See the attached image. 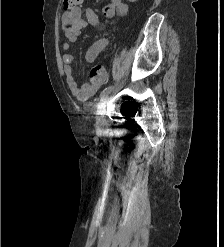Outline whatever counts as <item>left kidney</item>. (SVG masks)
Instances as JSON below:
<instances>
[{"mask_svg":"<svg viewBox=\"0 0 224 247\" xmlns=\"http://www.w3.org/2000/svg\"><path fill=\"white\" fill-rule=\"evenodd\" d=\"M128 2H136V0H128Z\"/></svg>","mask_w":224,"mask_h":247,"instance_id":"1","label":"left kidney"}]
</instances>
